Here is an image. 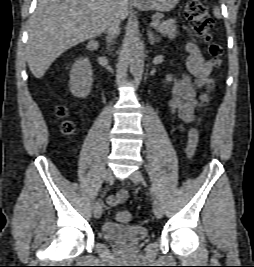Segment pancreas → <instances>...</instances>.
<instances>
[{
  "mask_svg": "<svg viewBox=\"0 0 254 267\" xmlns=\"http://www.w3.org/2000/svg\"><path fill=\"white\" fill-rule=\"evenodd\" d=\"M155 18L157 20H160L162 18V15L156 14ZM155 29L158 32H160L162 35L167 36L170 39H174L177 35L176 20L169 19V20L163 21L159 23V25H157Z\"/></svg>",
  "mask_w": 254,
  "mask_h": 267,
  "instance_id": "1",
  "label": "pancreas"
}]
</instances>
